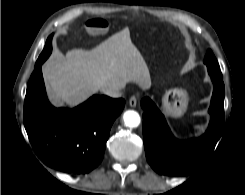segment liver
<instances>
[{
  "label": "liver",
  "instance_id": "1",
  "mask_svg": "<svg viewBox=\"0 0 245 195\" xmlns=\"http://www.w3.org/2000/svg\"><path fill=\"white\" fill-rule=\"evenodd\" d=\"M43 76L52 98L75 106L102 88L122 89L134 82L151 86L148 66L132 43L128 28L114 34L92 50L56 51L43 65Z\"/></svg>",
  "mask_w": 245,
  "mask_h": 195
}]
</instances>
